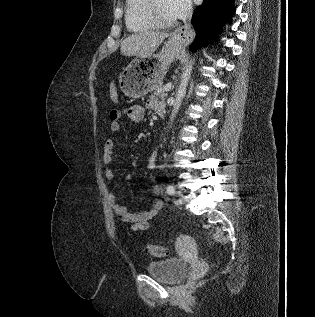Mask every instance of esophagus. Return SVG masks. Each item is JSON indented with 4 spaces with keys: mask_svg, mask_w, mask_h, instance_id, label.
Here are the masks:
<instances>
[{
    "mask_svg": "<svg viewBox=\"0 0 315 317\" xmlns=\"http://www.w3.org/2000/svg\"><path fill=\"white\" fill-rule=\"evenodd\" d=\"M193 36H194V32L191 29V27L188 25H185L177 29L173 33V37L179 40L180 42H182L184 45H187L188 43H190L193 39Z\"/></svg>",
    "mask_w": 315,
    "mask_h": 317,
    "instance_id": "34e87169",
    "label": "esophagus"
}]
</instances>
